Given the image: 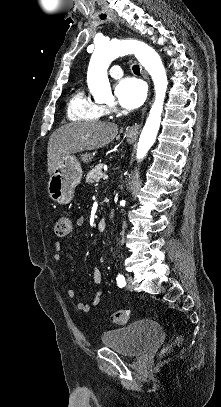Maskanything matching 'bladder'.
<instances>
[{
	"label": "bladder",
	"mask_w": 221,
	"mask_h": 407,
	"mask_svg": "<svg viewBox=\"0 0 221 407\" xmlns=\"http://www.w3.org/2000/svg\"><path fill=\"white\" fill-rule=\"evenodd\" d=\"M161 333L158 320L141 319L123 328L103 332L101 343L124 356L134 357L147 350Z\"/></svg>",
	"instance_id": "obj_1"
}]
</instances>
